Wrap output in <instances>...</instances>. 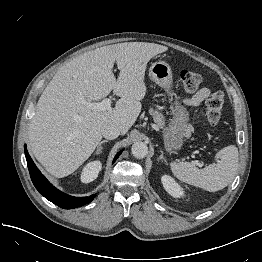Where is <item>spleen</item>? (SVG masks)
Instances as JSON below:
<instances>
[{
	"label": "spleen",
	"instance_id": "1",
	"mask_svg": "<svg viewBox=\"0 0 262 262\" xmlns=\"http://www.w3.org/2000/svg\"><path fill=\"white\" fill-rule=\"evenodd\" d=\"M216 158V165L198 169L189 162H172L173 175L181 182L200 187L209 192L225 188L234 178L238 165V150L234 145L221 149Z\"/></svg>",
	"mask_w": 262,
	"mask_h": 262
}]
</instances>
